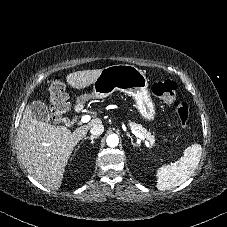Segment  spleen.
Instances as JSON below:
<instances>
[{
  "label": "spleen",
  "mask_w": 227,
  "mask_h": 227,
  "mask_svg": "<svg viewBox=\"0 0 227 227\" xmlns=\"http://www.w3.org/2000/svg\"><path fill=\"white\" fill-rule=\"evenodd\" d=\"M201 155V145L193 144L184 150V155L178 161L158 168L157 189L170 190L184 183L194 173Z\"/></svg>",
  "instance_id": "1"
}]
</instances>
